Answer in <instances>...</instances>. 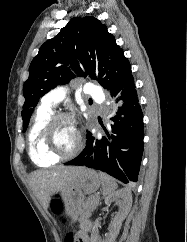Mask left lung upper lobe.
Masks as SVG:
<instances>
[{"label":"left lung upper lobe","mask_w":187,"mask_h":242,"mask_svg":"<svg viewBox=\"0 0 187 242\" xmlns=\"http://www.w3.org/2000/svg\"><path fill=\"white\" fill-rule=\"evenodd\" d=\"M131 73L128 59L105 24L94 17L72 18L40 47L30 64L23 87V130L39 99L57 85L82 76L97 80L111 91Z\"/></svg>","instance_id":"obj_1"}]
</instances>
